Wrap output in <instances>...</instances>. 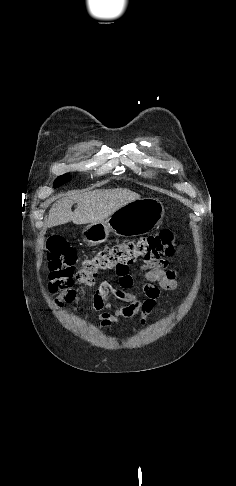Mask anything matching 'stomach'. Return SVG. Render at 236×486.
Listing matches in <instances>:
<instances>
[{
	"mask_svg": "<svg viewBox=\"0 0 236 486\" xmlns=\"http://www.w3.org/2000/svg\"><path fill=\"white\" fill-rule=\"evenodd\" d=\"M164 212V205L157 198L131 201L106 220L85 227L83 241L93 246L105 242L111 232L118 236L147 234L162 222Z\"/></svg>",
	"mask_w": 236,
	"mask_h": 486,
	"instance_id": "1",
	"label": "stomach"
}]
</instances>
